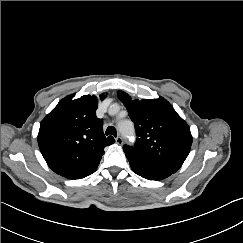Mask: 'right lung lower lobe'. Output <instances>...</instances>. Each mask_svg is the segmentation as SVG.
<instances>
[{
  "instance_id": "98d812e1",
  "label": "right lung lower lobe",
  "mask_w": 243,
  "mask_h": 243,
  "mask_svg": "<svg viewBox=\"0 0 243 243\" xmlns=\"http://www.w3.org/2000/svg\"><path fill=\"white\" fill-rule=\"evenodd\" d=\"M95 170H96V169H95ZM95 170H93V171H91V172H89V173H86V174H84L83 176H81V177H79V178H76V179L84 178V177H86V176L92 174L93 172H95Z\"/></svg>"
}]
</instances>
